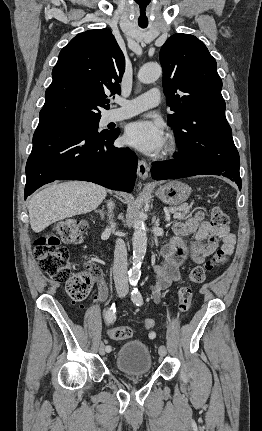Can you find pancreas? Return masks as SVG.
<instances>
[{"mask_svg": "<svg viewBox=\"0 0 262 431\" xmlns=\"http://www.w3.org/2000/svg\"><path fill=\"white\" fill-rule=\"evenodd\" d=\"M169 211L174 213L182 212V216L180 217V219H183L185 215L188 213L189 207L188 206L171 207Z\"/></svg>", "mask_w": 262, "mask_h": 431, "instance_id": "obj_1", "label": "pancreas"}]
</instances>
